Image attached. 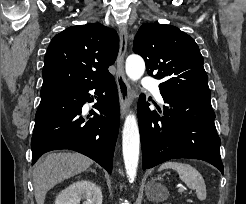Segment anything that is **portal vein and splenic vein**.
I'll return each instance as SVG.
<instances>
[{
    "label": "portal vein and splenic vein",
    "instance_id": "18ae733b",
    "mask_svg": "<svg viewBox=\"0 0 246 204\" xmlns=\"http://www.w3.org/2000/svg\"><path fill=\"white\" fill-rule=\"evenodd\" d=\"M186 190V188H184L183 186H179V189H178V191L180 192V193H182V192H184Z\"/></svg>",
    "mask_w": 246,
    "mask_h": 204
}]
</instances>
